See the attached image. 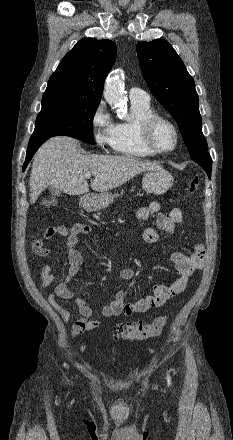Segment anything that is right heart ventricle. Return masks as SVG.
<instances>
[{
	"mask_svg": "<svg viewBox=\"0 0 233 440\" xmlns=\"http://www.w3.org/2000/svg\"><path fill=\"white\" fill-rule=\"evenodd\" d=\"M132 118L114 123L113 149L116 153L130 158H147L155 154L147 150L141 142L139 123L154 112L150 103L131 102Z\"/></svg>",
	"mask_w": 233,
	"mask_h": 440,
	"instance_id": "right-heart-ventricle-1",
	"label": "right heart ventricle"
}]
</instances>
